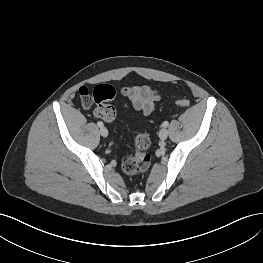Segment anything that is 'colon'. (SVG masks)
I'll use <instances>...</instances> for the list:
<instances>
[{
  "mask_svg": "<svg viewBox=\"0 0 263 263\" xmlns=\"http://www.w3.org/2000/svg\"><path fill=\"white\" fill-rule=\"evenodd\" d=\"M115 96V90L112 86L101 84L90 92L89 88L82 86L79 89V98L83 106H91L96 104L95 114L107 121L111 122L116 117V109L111 104V100ZM176 104L180 107L189 106V101L185 98L176 100ZM151 145L150 137L146 133H139L134 141L135 153L122 162V169L126 174L136 175L149 169L152 156L148 152Z\"/></svg>",
  "mask_w": 263,
  "mask_h": 263,
  "instance_id": "colon-1",
  "label": "colon"
}]
</instances>
